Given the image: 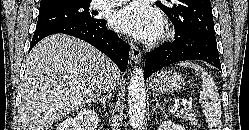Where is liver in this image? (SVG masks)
Here are the masks:
<instances>
[{
  "instance_id": "obj_1",
  "label": "liver",
  "mask_w": 249,
  "mask_h": 130,
  "mask_svg": "<svg viewBox=\"0 0 249 130\" xmlns=\"http://www.w3.org/2000/svg\"><path fill=\"white\" fill-rule=\"evenodd\" d=\"M119 71L104 54L77 38L55 34L30 52L21 88L22 130H48L95 101Z\"/></svg>"
}]
</instances>
